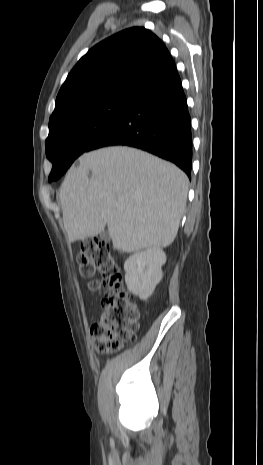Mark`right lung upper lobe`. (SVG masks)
Returning a JSON list of instances; mask_svg holds the SVG:
<instances>
[{
	"instance_id": "cb5924a9",
	"label": "right lung upper lobe",
	"mask_w": 263,
	"mask_h": 465,
	"mask_svg": "<svg viewBox=\"0 0 263 465\" xmlns=\"http://www.w3.org/2000/svg\"><path fill=\"white\" fill-rule=\"evenodd\" d=\"M176 71L164 43L143 27L123 30L90 49L62 85L50 120L77 105L113 96L134 97Z\"/></svg>"
}]
</instances>
